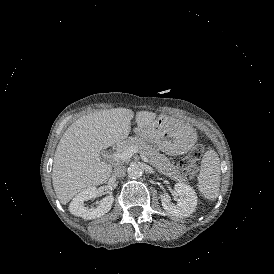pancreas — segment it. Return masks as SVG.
<instances>
[{
  "label": "pancreas",
  "instance_id": "cf45deb5",
  "mask_svg": "<svg viewBox=\"0 0 274 274\" xmlns=\"http://www.w3.org/2000/svg\"><path fill=\"white\" fill-rule=\"evenodd\" d=\"M135 146L138 150V153L141 155H146L150 159L153 167L158 170V172L166 175L167 177L182 183H188L189 179L186 175H182L175 167L174 162H171V159L165 156L164 154L159 153L157 149L152 147L146 141L140 137H129L127 140L121 143L120 149L124 150L126 147ZM129 159H126L125 162H128Z\"/></svg>",
  "mask_w": 274,
  "mask_h": 274
}]
</instances>
